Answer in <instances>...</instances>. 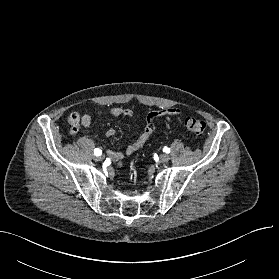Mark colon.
I'll return each mask as SVG.
<instances>
[{"instance_id":"5ec220e1","label":"colon","mask_w":279,"mask_h":279,"mask_svg":"<svg viewBox=\"0 0 279 279\" xmlns=\"http://www.w3.org/2000/svg\"><path fill=\"white\" fill-rule=\"evenodd\" d=\"M68 122L71 130L73 132H76L79 128V122H80L79 115L76 113L71 114L69 116ZM184 124L188 131H190L191 133L197 136L202 135L206 128V124L204 121L193 117L186 118Z\"/></svg>"}]
</instances>
